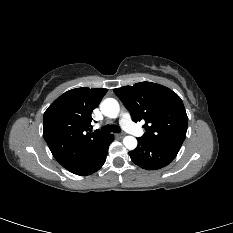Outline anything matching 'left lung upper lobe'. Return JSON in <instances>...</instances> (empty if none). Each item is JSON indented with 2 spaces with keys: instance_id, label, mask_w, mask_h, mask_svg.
Wrapping results in <instances>:
<instances>
[{
  "instance_id": "left-lung-upper-lobe-1",
  "label": "left lung upper lobe",
  "mask_w": 233,
  "mask_h": 233,
  "mask_svg": "<svg viewBox=\"0 0 233 233\" xmlns=\"http://www.w3.org/2000/svg\"><path fill=\"white\" fill-rule=\"evenodd\" d=\"M134 122L145 121L140 137L153 143H180L186 137L188 117L180 97L167 87L141 82L114 90Z\"/></svg>"
}]
</instances>
